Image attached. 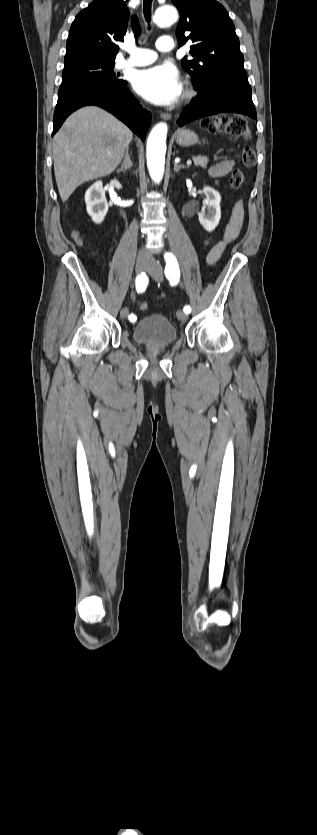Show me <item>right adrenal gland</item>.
Here are the masks:
<instances>
[{
  "mask_svg": "<svg viewBox=\"0 0 317 835\" xmlns=\"http://www.w3.org/2000/svg\"><path fill=\"white\" fill-rule=\"evenodd\" d=\"M128 151H129V148L126 149V153H125V156H124V161L121 164V168L118 169L117 172H125L126 170H130L131 167L133 166V162L131 160V157H130Z\"/></svg>",
  "mask_w": 317,
  "mask_h": 835,
  "instance_id": "right-adrenal-gland-1",
  "label": "right adrenal gland"
}]
</instances>
